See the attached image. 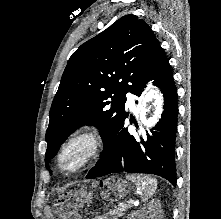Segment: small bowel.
Listing matches in <instances>:
<instances>
[{
    "instance_id": "obj_1",
    "label": "small bowel",
    "mask_w": 221,
    "mask_h": 219,
    "mask_svg": "<svg viewBox=\"0 0 221 219\" xmlns=\"http://www.w3.org/2000/svg\"><path fill=\"white\" fill-rule=\"evenodd\" d=\"M95 219H106V218H103V217H97V218H95Z\"/></svg>"
}]
</instances>
